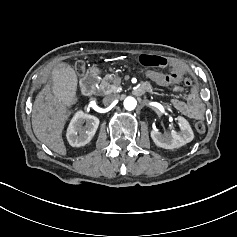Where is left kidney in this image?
Segmentation results:
<instances>
[{"mask_svg": "<svg viewBox=\"0 0 237 237\" xmlns=\"http://www.w3.org/2000/svg\"><path fill=\"white\" fill-rule=\"evenodd\" d=\"M177 120L180 127L179 132L172 130L170 133L162 134L158 130L151 131V138L158 147L175 149L193 140L194 133L189 122L181 116H178Z\"/></svg>", "mask_w": 237, "mask_h": 237, "instance_id": "1", "label": "left kidney"}]
</instances>
